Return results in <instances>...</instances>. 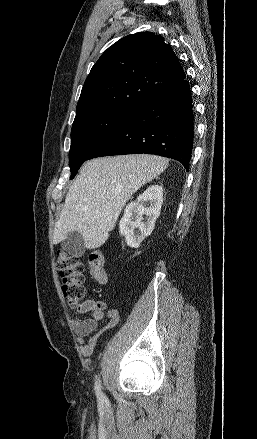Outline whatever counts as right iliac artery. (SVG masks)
I'll use <instances>...</instances> for the list:
<instances>
[{
	"mask_svg": "<svg viewBox=\"0 0 257 439\" xmlns=\"http://www.w3.org/2000/svg\"><path fill=\"white\" fill-rule=\"evenodd\" d=\"M95 390H96V395H97L98 400L99 401H104L105 400V396H104V394L101 391L100 382L99 381H96V383H95Z\"/></svg>",
	"mask_w": 257,
	"mask_h": 439,
	"instance_id": "right-iliac-artery-1",
	"label": "right iliac artery"
}]
</instances>
